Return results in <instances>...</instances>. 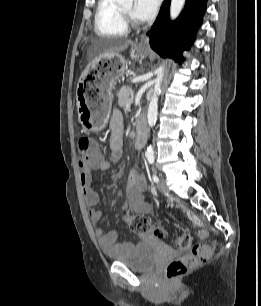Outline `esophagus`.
Wrapping results in <instances>:
<instances>
[{
	"label": "esophagus",
	"mask_w": 261,
	"mask_h": 306,
	"mask_svg": "<svg viewBox=\"0 0 261 306\" xmlns=\"http://www.w3.org/2000/svg\"><path fill=\"white\" fill-rule=\"evenodd\" d=\"M138 47L142 50H148L149 49V41L148 38L143 35L138 43Z\"/></svg>",
	"instance_id": "obj_1"
}]
</instances>
